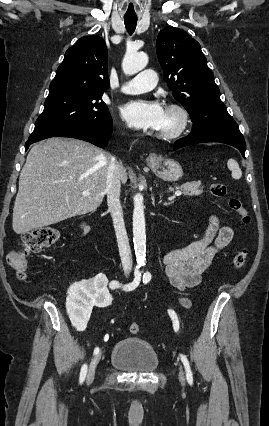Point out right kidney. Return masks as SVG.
Masks as SVG:
<instances>
[{
  "label": "right kidney",
  "instance_id": "obj_1",
  "mask_svg": "<svg viewBox=\"0 0 269 426\" xmlns=\"http://www.w3.org/2000/svg\"><path fill=\"white\" fill-rule=\"evenodd\" d=\"M84 235L90 231L86 223L80 225ZM105 273H95L94 279L72 283L66 301L67 312L72 318L77 317L82 327H86L91 310L106 311L110 308L113 296L105 281Z\"/></svg>",
  "mask_w": 269,
  "mask_h": 426
}]
</instances>
